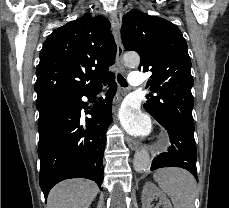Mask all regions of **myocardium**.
<instances>
[{"instance_id":"myocardium-1","label":"myocardium","mask_w":229,"mask_h":208,"mask_svg":"<svg viewBox=\"0 0 229 208\" xmlns=\"http://www.w3.org/2000/svg\"><path fill=\"white\" fill-rule=\"evenodd\" d=\"M168 143H169L168 136L163 134L157 139L155 145L157 148H164L168 145Z\"/></svg>"}]
</instances>
